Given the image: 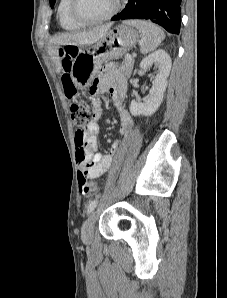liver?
<instances>
[{
    "mask_svg": "<svg viewBox=\"0 0 227 298\" xmlns=\"http://www.w3.org/2000/svg\"><path fill=\"white\" fill-rule=\"evenodd\" d=\"M111 25L112 24H107L90 31L64 33L53 37L50 40V45L52 46L51 54L52 59L57 66L58 73L61 70V58L59 57L58 52V49L61 46H83L94 44L108 33Z\"/></svg>",
    "mask_w": 227,
    "mask_h": 298,
    "instance_id": "liver-1",
    "label": "liver"
}]
</instances>
